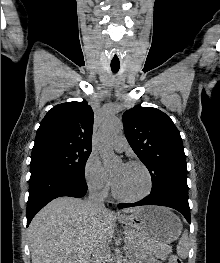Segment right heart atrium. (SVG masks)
Instances as JSON below:
<instances>
[{"mask_svg":"<svg viewBox=\"0 0 220 263\" xmlns=\"http://www.w3.org/2000/svg\"><path fill=\"white\" fill-rule=\"evenodd\" d=\"M83 177L88 189L94 193H105L111 184L110 175L95 153H91L86 159Z\"/></svg>","mask_w":220,"mask_h":263,"instance_id":"right-heart-atrium-1","label":"right heart atrium"}]
</instances>
